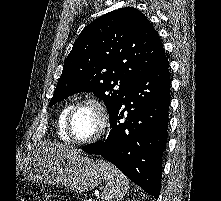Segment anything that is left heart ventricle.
Segmentation results:
<instances>
[{
    "label": "left heart ventricle",
    "mask_w": 221,
    "mask_h": 201,
    "mask_svg": "<svg viewBox=\"0 0 221 201\" xmlns=\"http://www.w3.org/2000/svg\"><path fill=\"white\" fill-rule=\"evenodd\" d=\"M100 127V118L96 109L91 105L80 107L74 114L71 122V132L74 138L84 140L97 133Z\"/></svg>",
    "instance_id": "obj_1"
}]
</instances>
